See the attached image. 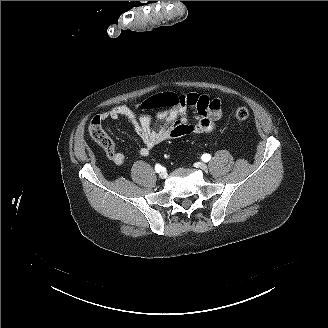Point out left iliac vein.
<instances>
[{
  "label": "left iliac vein",
  "instance_id": "obj_1",
  "mask_svg": "<svg viewBox=\"0 0 328 328\" xmlns=\"http://www.w3.org/2000/svg\"><path fill=\"white\" fill-rule=\"evenodd\" d=\"M195 166L203 171H207L208 168H207V165L204 164L203 162H197L195 163Z\"/></svg>",
  "mask_w": 328,
  "mask_h": 328
}]
</instances>
